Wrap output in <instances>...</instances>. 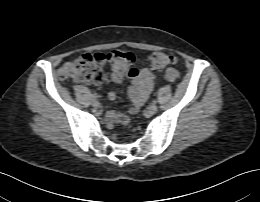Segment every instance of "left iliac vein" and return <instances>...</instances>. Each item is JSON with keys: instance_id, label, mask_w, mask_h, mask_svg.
Instances as JSON below:
<instances>
[{"instance_id": "1", "label": "left iliac vein", "mask_w": 260, "mask_h": 202, "mask_svg": "<svg viewBox=\"0 0 260 202\" xmlns=\"http://www.w3.org/2000/svg\"><path fill=\"white\" fill-rule=\"evenodd\" d=\"M147 111L150 114H155L157 112V105L156 104L149 105Z\"/></svg>"}]
</instances>
